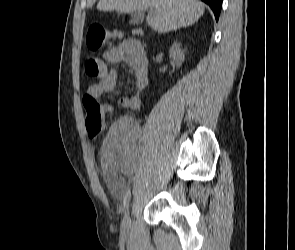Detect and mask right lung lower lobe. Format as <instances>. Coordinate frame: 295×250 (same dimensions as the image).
I'll use <instances>...</instances> for the list:
<instances>
[{"instance_id":"1","label":"right lung lower lobe","mask_w":295,"mask_h":250,"mask_svg":"<svg viewBox=\"0 0 295 250\" xmlns=\"http://www.w3.org/2000/svg\"><path fill=\"white\" fill-rule=\"evenodd\" d=\"M203 2L207 3L214 12L216 20H218L220 15V10L222 6V0H202Z\"/></svg>"}]
</instances>
